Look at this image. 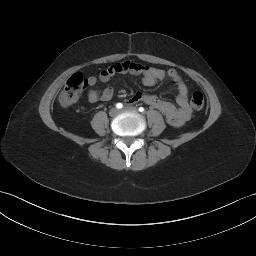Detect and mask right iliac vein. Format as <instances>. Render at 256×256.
I'll return each mask as SVG.
<instances>
[{
    "label": "right iliac vein",
    "mask_w": 256,
    "mask_h": 256,
    "mask_svg": "<svg viewBox=\"0 0 256 256\" xmlns=\"http://www.w3.org/2000/svg\"><path fill=\"white\" fill-rule=\"evenodd\" d=\"M118 113H119V110H118L117 108H112V109L109 111V114H110V116H112V117L117 116Z\"/></svg>",
    "instance_id": "1"
}]
</instances>
